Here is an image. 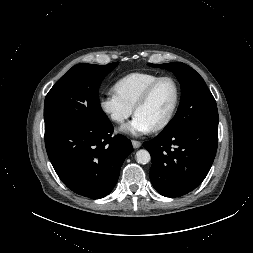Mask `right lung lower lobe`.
<instances>
[{
	"mask_svg": "<svg viewBox=\"0 0 253 253\" xmlns=\"http://www.w3.org/2000/svg\"><path fill=\"white\" fill-rule=\"evenodd\" d=\"M112 133L108 118L45 130L48 157L61 181L76 194L100 199L114 188L121 165L133 148L125 136Z\"/></svg>",
	"mask_w": 253,
	"mask_h": 253,
	"instance_id": "1",
	"label": "right lung lower lobe"
}]
</instances>
